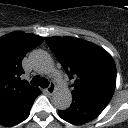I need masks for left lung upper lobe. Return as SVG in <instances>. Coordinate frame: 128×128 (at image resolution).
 <instances>
[{
	"label": "left lung upper lobe",
	"mask_w": 128,
	"mask_h": 128,
	"mask_svg": "<svg viewBox=\"0 0 128 128\" xmlns=\"http://www.w3.org/2000/svg\"><path fill=\"white\" fill-rule=\"evenodd\" d=\"M47 45L70 79L73 98L109 102L116 86V66L103 48L74 37H48Z\"/></svg>",
	"instance_id": "1"
}]
</instances>
